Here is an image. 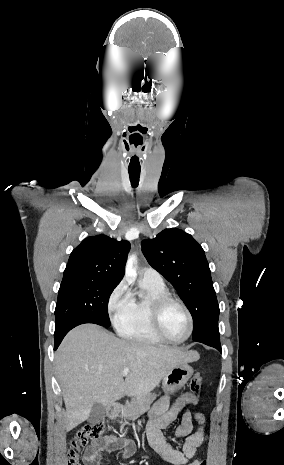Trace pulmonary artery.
Wrapping results in <instances>:
<instances>
[{"instance_id": "obj_1", "label": "pulmonary artery", "mask_w": 284, "mask_h": 465, "mask_svg": "<svg viewBox=\"0 0 284 465\" xmlns=\"http://www.w3.org/2000/svg\"><path fill=\"white\" fill-rule=\"evenodd\" d=\"M140 277L148 283H163V278L158 271L153 268L144 267L140 270Z\"/></svg>"}]
</instances>
